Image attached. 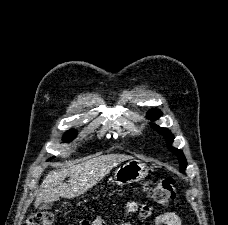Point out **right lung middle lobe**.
I'll use <instances>...</instances> for the list:
<instances>
[{
	"instance_id": "obj_1",
	"label": "right lung middle lobe",
	"mask_w": 228,
	"mask_h": 225,
	"mask_svg": "<svg viewBox=\"0 0 228 225\" xmlns=\"http://www.w3.org/2000/svg\"><path fill=\"white\" fill-rule=\"evenodd\" d=\"M76 136V132L74 130H70L65 133V136L63 137V140L66 142L71 141Z\"/></svg>"
}]
</instances>
